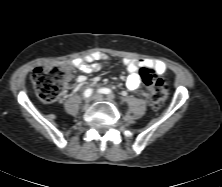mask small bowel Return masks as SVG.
<instances>
[{
    "label": "small bowel",
    "instance_id": "1",
    "mask_svg": "<svg viewBox=\"0 0 222 187\" xmlns=\"http://www.w3.org/2000/svg\"><path fill=\"white\" fill-rule=\"evenodd\" d=\"M106 55L103 53H95L87 56L86 58H78L73 60V66L84 74H89L93 71L102 68L103 64L96 62L97 60H105ZM124 65L126 66L129 75L126 79V86L131 91H137L140 95H144V92L140 90L141 77L139 70L142 68H148L162 74L166 70V66L162 61L152 59H124ZM88 82L85 75H79L77 77V83L84 85Z\"/></svg>",
    "mask_w": 222,
    "mask_h": 187
}]
</instances>
